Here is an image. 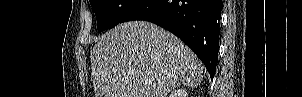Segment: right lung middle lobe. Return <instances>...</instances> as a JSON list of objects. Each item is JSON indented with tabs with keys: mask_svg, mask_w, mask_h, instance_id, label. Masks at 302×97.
Listing matches in <instances>:
<instances>
[{
	"mask_svg": "<svg viewBox=\"0 0 302 97\" xmlns=\"http://www.w3.org/2000/svg\"><path fill=\"white\" fill-rule=\"evenodd\" d=\"M101 32L115 27L141 0H89Z\"/></svg>",
	"mask_w": 302,
	"mask_h": 97,
	"instance_id": "1",
	"label": "right lung middle lobe"
}]
</instances>
